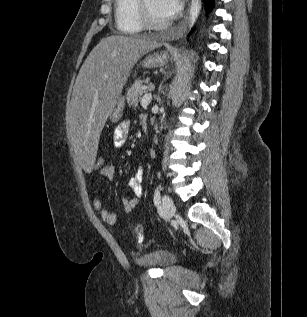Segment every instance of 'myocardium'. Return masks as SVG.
Returning a JSON list of instances; mask_svg holds the SVG:
<instances>
[{"label":"myocardium","mask_w":307,"mask_h":317,"mask_svg":"<svg viewBox=\"0 0 307 317\" xmlns=\"http://www.w3.org/2000/svg\"><path fill=\"white\" fill-rule=\"evenodd\" d=\"M138 12L142 25L150 30H162L169 25L168 21L157 22L155 21L147 8L146 0H137Z\"/></svg>","instance_id":"obj_1"}]
</instances>
